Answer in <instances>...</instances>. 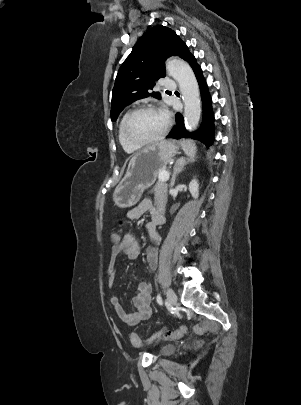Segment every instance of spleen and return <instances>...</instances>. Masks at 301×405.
<instances>
[{
	"label": "spleen",
	"mask_w": 301,
	"mask_h": 405,
	"mask_svg": "<svg viewBox=\"0 0 301 405\" xmlns=\"http://www.w3.org/2000/svg\"><path fill=\"white\" fill-rule=\"evenodd\" d=\"M181 147L187 156H189L191 158H193L195 156L197 148H196L195 143H193L192 141L183 140L181 142Z\"/></svg>",
	"instance_id": "spleen-1"
}]
</instances>
